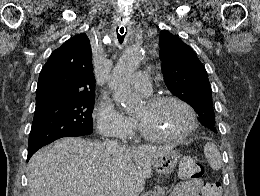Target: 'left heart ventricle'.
<instances>
[{"mask_svg":"<svg viewBox=\"0 0 260 196\" xmlns=\"http://www.w3.org/2000/svg\"><path fill=\"white\" fill-rule=\"evenodd\" d=\"M135 119L147 130L163 135H179L190 125V114L180 104L168 102L150 108L144 105L134 115ZM113 190H91V192H111Z\"/></svg>","mask_w":260,"mask_h":196,"instance_id":"obj_1","label":"left heart ventricle"}]
</instances>
